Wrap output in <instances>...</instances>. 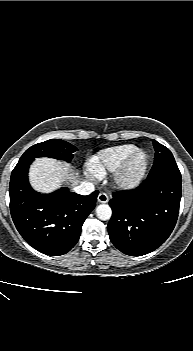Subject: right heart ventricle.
Segmentation results:
<instances>
[{
  "mask_svg": "<svg viewBox=\"0 0 193 351\" xmlns=\"http://www.w3.org/2000/svg\"><path fill=\"white\" fill-rule=\"evenodd\" d=\"M128 151H129V148H120L114 151H109L102 157L101 164L109 165V164L118 163L120 157Z\"/></svg>",
  "mask_w": 193,
  "mask_h": 351,
  "instance_id": "1",
  "label": "right heart ventricle"
}]
</instances>
